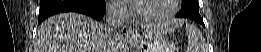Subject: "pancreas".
Listing matches in <instances>:
<instances>
[{"instance_id":"obj_1","label":"pancreas","mask_w":261,"mask_h":52,"mask_svg":"<svg viewBox=\"0 0 261 52\" xmlns=\"http://www.w3.org/2000/svg\"><path fill=\"white\" fill-rule=\"evenodd\" d=\"M170 51H171V52H174V50H173V49H171Z\"/></svg>"}]
</instances>
